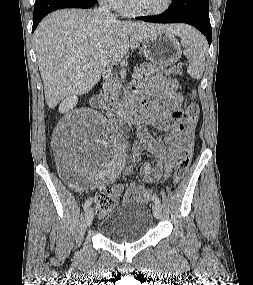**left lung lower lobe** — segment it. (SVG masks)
I'll return each instance as SVG.
<instances>
[{
  "instance_id": "0a47b994",
  "label": "left lung lower lobe",
  "mask_w": 253,
  "mask_h": 285,
  "mask_svg": "<svg viewBox=\"0 0 253 285\" xmlns=\"http://www.w3.org/2000/svg\"><path fill=\"white\" fill-rule=\"evenodd\" d=\"M169 10L156 16L137 17L138 20L154 23H187L196 27L212 40V28L209 19V0H173Z\"/></svg>"
}]
</instances>
